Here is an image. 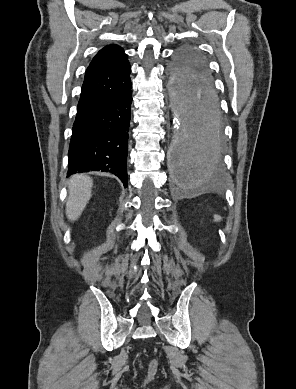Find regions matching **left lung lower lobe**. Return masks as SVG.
Segmentation results:
<instances>
[{
	"label": "left lung lower lobe",
	"instance_id": "1",
	"mask_svg": "<svg viewBox=\"0 0 296 389\" xmlns=\"http://www.w3.org/2000/svg\"><path fill=\"white\" fill-rule=\"evenodd\" d=\"M195 83V89L186 85L181 88L182 95L191 100L194 106V117H199L187 141L181 142L176 167L183 171L187 179L219 174L222 154V124L213 82L203 76H197Z\"/></svg>",
	"mask_w": 296,
	"mask_h": 389
}]
</instances>
